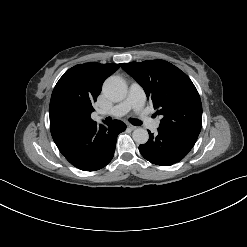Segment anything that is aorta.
Listing matches in <instances>:
<instances>
[{
    "mask_svg": "<svg viewBox=\"0 0 247 247\" xmlns=\"http://www.w3.org/2000/svg\"><path fill=\"white\" fill-rule=\"evenodd\" d=\"M102 92L108 100L120 102L127 96V85L122 79L111 77L104 82ZM132 137L137 144H145L149 139V134L146 129L137 128L133 131Z\"/></svg>",
    "mask_w": 247,
    "mask_h": 247,
    "instance_id": "aorta-1",
    "label": "aorta"
}]
</instances>
